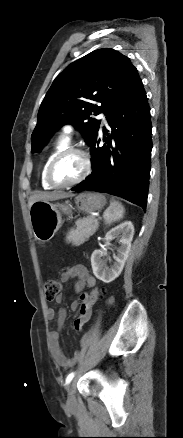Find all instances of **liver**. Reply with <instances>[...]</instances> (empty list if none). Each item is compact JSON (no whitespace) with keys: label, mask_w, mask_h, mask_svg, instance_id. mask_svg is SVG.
<instances>
[{"label":"liver","mask_w":183,"mask_h":438,"mask_svg":"<svg viewBox=\"0 0 183 438\" xmlns=\"http://www.w3.org/2000/svg\"><path fill=\"white\" fill-rule=\"evenodd\" d=\"M73 194L71 193H65V192H41L38 194H35L30 197L28 205L29 207L36 201H55L59 199L69 198L72 197Z\"/></svg>","instance_id":"obj_1"}]
</instances>
